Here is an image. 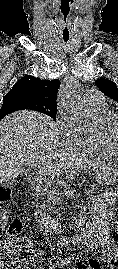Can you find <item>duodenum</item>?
<instances>
[{"mask_svg": "<svg viewBox=\"0 0 118 269\" xmlns=\"http://www.w3.org/2000/svg\"><path fill=\"white\" fill-rule=\"evenodd\" d=\"M35 218L43 227L54 233L66 234L68 231V227L64 222L49 216L39 208L35 211Z\"/></svg>", "mask_w": 118, "mask_h": 269, "instance_id": "1", "label": "duodenum"}]
</instances>
